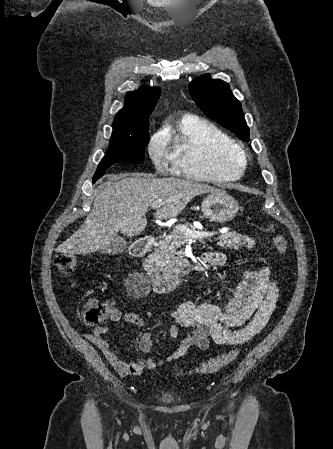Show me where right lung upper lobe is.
Listing matches in <instances>:
<instances>
[{
	"label": "right lung upper lobe",
	"instance_id": "obj_1",
	"mask_svg": "<svg viewBox=\"0 0 333 449\" xmlns=\"http://www.w3.org/2000/svg\"><path fill=\"white\" fill-rule=\"evenodd\" d=\"M160 97V88L141 87L126 95L124 108L120 110L112 124V137H136L152 113Z\"/></svg>",
	"mask_w": 333,
	"mask_h": 449
}]
</instances>
